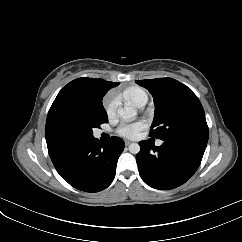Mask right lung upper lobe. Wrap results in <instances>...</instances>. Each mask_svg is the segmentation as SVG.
<instances>
[{
    "mask_svg": "<svg viewBox=\"0 0 242 242\" xmlns=\"http://www.w3.org/2000/svg\"><path fill=\"white\" fill-rule=\"evenodd\" d=\"M119 83L95 78H78L68 83L55 98L47 116L45 137L47 147L72 136L65 134L58 126V118L68 109L87 110L102 105L105 93ZM103 106V105H102Z\"/></svg>",
    "mask_w": 242,
    "mask_h": 242,
    "instance_id": "1",
    "label": "right lung upper lobe"
}]
</instances>
